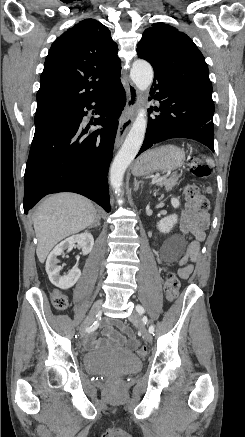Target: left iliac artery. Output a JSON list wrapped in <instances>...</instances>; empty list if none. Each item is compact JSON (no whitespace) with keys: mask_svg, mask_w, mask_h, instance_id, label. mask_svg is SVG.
Returning <instances> with one entry per match:
<instances>
[{"mask_svg":"<svg viewBox=\"0 0 245 437\" xmlns=\"http://www.w3.org/2000/svg\"><path fill=\"white\" fill-rule=\"evenodd\" d=\"M136 311H137L140 315H142V314L145 312L144 308H143L141 305H137V306H136ZM142 320H143V322L146 324V322H147V318H146V317H143ZM149 332H150V333H153V332H154V326H153V325H151V326L149 327Z\"/></svg>","mask_w":245,"mask_h":437,"instance_id":"left-iliac-artery-1","label":"left iliac artery"}]
</instances>
